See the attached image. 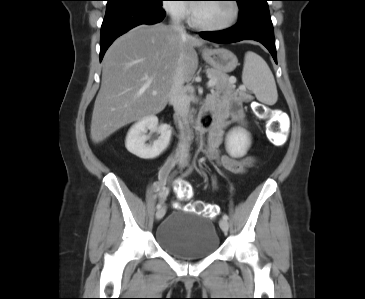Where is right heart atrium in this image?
Listing matches in <instances>:
<instances>
[{"label": "right heart atrium", "instance_id": "right-heart-atrium-1", "mask_svg": "<svg viewBox=\"0 0 365 299\" xmlns=\"http://www.w3.org/2000/svg\"><path fill=\"white\" fill-rule=\"evenodd\" d=\"M165 11L175 20L182 21L189 15V8L184 0H165Z\"/></svg>", "mask_w": 365, "mask_h": 299}]
</instances>
